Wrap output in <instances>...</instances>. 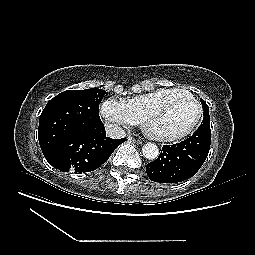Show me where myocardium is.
Returning a JSON list of instances; mask_svg holds the SVG:
<instances>
[{
  "instance_id": "1",
  "label": "myocardium",
  "mask_w": 255,
  "mask_h": 255,
  "mask_svg": "<svg viewBox=\"0 0 255 255\" xmlns=\"http://www.w3.org/2000/svg\"><path fill=\"white\" fill-rule=\"evenodd\" d=\"M175 97H184L188 100H190L192 103H194L197 107V115L193 123L184 131L178 133V134H172V135H165V134H155L152 132H149L146 128V125L149 121V119L158 112L164 105L169 103L171 100H173ZM203 114V109L201 103L189 92L185 90H181L179 92H174L165 98H163L161 101H159L156 105H154L152 108H150L146 114L144 115L142 119V125L146 131V133L153 139L159 140V141H176L179 139H182L186 136H188L190 133L194 131V129L198 126Z\"/></svg>"
}]
</instances>
